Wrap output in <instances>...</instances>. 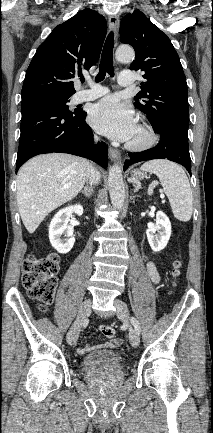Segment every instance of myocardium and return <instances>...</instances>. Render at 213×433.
I'll use <instances>...</instances> for the list:
<instances>
[{
	"label": "myocardium",
	"mask_w": 213,
	"mask_h": 433,
	"mask_svg": "<svg viewBox=\"0 0 213 433\" xmlns=\"http://www.w3.org/2000/svg\"><path fill=\"white\" fill-rule=\"evenodd\" d=\"M144 134V139L140 142H127L125 147L131 151H143L151 148L158 141V135L149 124L142 122L138 125Z\"/></svg>",
	"instance_id": "1"
}]
</instances>
